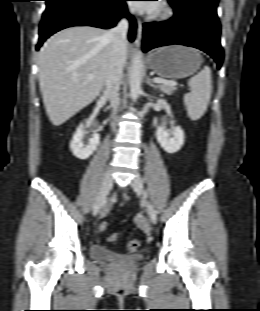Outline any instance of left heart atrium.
<instances>
[{"mask_svg": "<svg viewBox=\"0 0 260 311\" xmlns=\"http://www.w3.org/2000/svg\"><path fill=\"white\" fill-rule=\"evenodd\" d=\"M148 2H157V1H148ZM133 7L136 11L139 12H155L157 10V3L143 4L140 2H134Z\"/></svg>", "mask_w": 260, "mask_h": 311, "instance_id": "left-heart-atrium-1", "label": "left heart atrium"}]
</instances>
